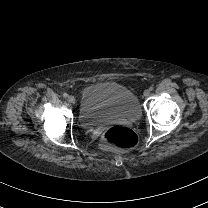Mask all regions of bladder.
Here are the masks:
<instances>
[{
  "instance_id": "31cf9c89",
  "label": "bladder",
  "mask_w": 208,
  "mask_h": 208,
  "mask_svg": "<svg viewBox=\"0 0 208 208\" xmlns=\"http://www.w3.org/2000/svg\"><path fill=\"white\" fill-rule=\"evenodd\" d=\"M80 112L82 121L91 125L137 121L141 117L140 104L131 90L105 82L90 84L84 89Z\"/></svg>"
}]
</instances>
